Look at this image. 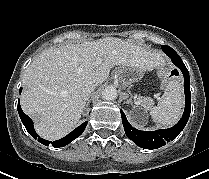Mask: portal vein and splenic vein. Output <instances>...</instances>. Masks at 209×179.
Instances as JSON below:
<instances>
[{"instance_id": "1", "label": "portal vein and splenic vein", "mask_w": 209, "mask_h": 179, "mask_svg": "<svg viewBox=\"0 0 209 179\" xmlns=\"http://www.w3.org/2000/svg\"><path fill=\"white\" fill-rule=\"evenodd\" d=\"M97 64H100L101 63V60H97V62H96Z\"/></svg>"}]
</instances>
